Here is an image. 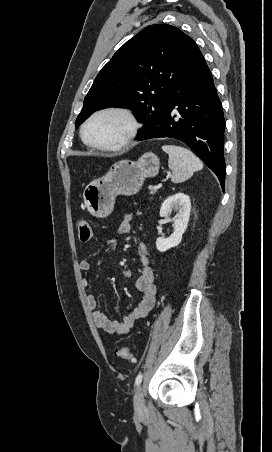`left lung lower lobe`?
<instances>
[{
    "label": "left lung lower lobe",
    "mask_w": 272,
    "mask_h": 452,
    "mask_svg": "<svg viewBox=\"0 0 272 452\" xmlns=\"http://www.w3.org/2000/svg\"><path fill=\"white\" fill-rule=\"evenodd\" d=\"M221 105L212 74L197 48L159 120L143 128L137 139L172 137L183 141L217 175L224 190L225 120Z\"/></svg>",
    "instance_id": "0a47b994"
}]
</instances>
